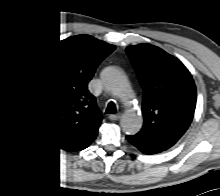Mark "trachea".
I'll return each instance as SVG.
<instances>
[{
  "label": "trachea",
  "mask_w": 220,
  "mask_h": 196,
  "mask_svg": "<svg viewBox=\"0 0 220 196\" xmlns=\"http://www.w3.org/2000/svg\"><path fill=\"white\" fill-rule=\"evenodd\" d=\"M107 112L108 113H116V107H115V104L113 102H110L108 104Z\"/></svg>",
  "instance_id": "trachea-1"
}]
</instances>
